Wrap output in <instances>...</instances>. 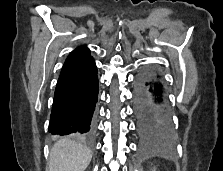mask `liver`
Returning <instances> with one entry per match:
<instances>
[{
    "label": "liver",
    "instance_id": "obj_1",
    "mask_svg": "<svg viewBox=\"0 0 223 171\" xmlns=\"http://www.w3.org/2000/svg\"><path fill=\"white\" fill-rule=\"evenodd\" d=\"M91 159L89 148L70 139H61L51 148L48 171H84Z\"/></svg>",
    "mask_w": 223,
    "mask_h": 171
}]
</instances>
